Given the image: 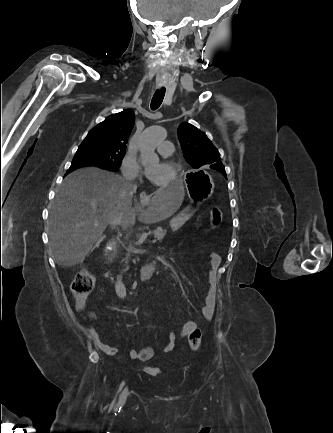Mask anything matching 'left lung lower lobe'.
Wrapping results in <instances>:
<instances>
[{
  "label": "left lung lower lobe",
  "instance_id": "0a47b994",
  "mask_svg": "<svg viewBox=\"0 0 333 433\" xmlns=\"http://www.w3.org/2000/svg\"><path fill=\"white\" fill-rule=\"evenodd\" d=\"M210 168H212V169H214V170H217V171H219V170H222L223 171V169H221L220 167H218L217 165H211L210 166ZM218 168H220V169H218ZM220 172V171H219ZM223 174V173H222ZM225 177H226V174H223Z\"/></svg>",
  "mask_w": 333,
  "mask_h": 433
}]
</instances>
